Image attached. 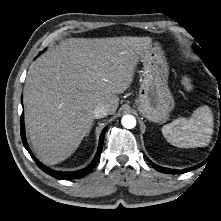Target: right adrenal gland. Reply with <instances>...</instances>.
I'll list each match as a JSON object with an SVG mask.
<instances>
[{
	"mask_svg": "<svg viewBox=\"0 0 221 221\" xmlns=\"http://www.w3.org/2000/svg\"><path fill=\"white\" fill-rule=\"evenodd\" d=\"M90 130H91V128H90ZM90 130L88 131L87 136L89 135Z\"/></svg>",
	"mask_w": 221,
	"mask_h": 221,
	"instance_id": "obj_1",
	"label": "right adrenal gland"
}]
</instances>
